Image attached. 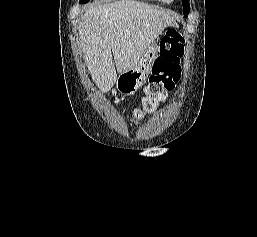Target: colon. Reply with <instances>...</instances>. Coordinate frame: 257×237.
<instances>
[{
	"label": "colon",
	"mask_w": 257,
	"mask_h": 237,
	"mask_svg": "<svg viewBox=\"0 0 257 237\" xmlns=\"http://www.w3.org/2000/svg\"><path fill=\"white\" fill-rule=\"evenodd\" d=\"M184 55L183 37L175 30H168L159 45V55L155 59L142 107L134 113L140 119L144 111H154L157 103L167 92L174 89L181 73V59Z\"/></svg>",
	"instance_id": "5ec220e1"
}]
</instances>
